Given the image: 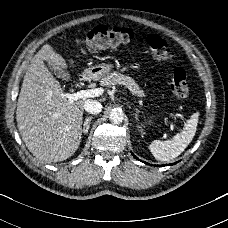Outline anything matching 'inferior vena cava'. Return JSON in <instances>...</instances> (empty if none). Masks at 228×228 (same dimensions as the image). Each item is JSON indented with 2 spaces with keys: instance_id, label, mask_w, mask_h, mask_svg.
Instances as JSON below:
<instances>
[{
  "instance_id": "602c4592",
  "label": "inferior vena cava",
  "mask_w": 228,
  "mask_h": 228,
  "mask_svg": "<svg viewBox=\"0 0 228 228\" xmlns=\"http://www.w3.org/2000/svg\"><path fill=\"white\" fill-rule=\"evenodd\" d=\"M84 109L90 114H99L102 110V105L97 100L88 99L85 101Z\"/></svg>"
}]
</instances>
